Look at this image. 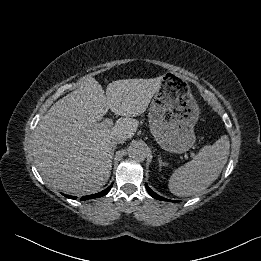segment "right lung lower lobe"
Returning <instances> with one entry per match:
<instances>
[{"label":"right lung lower lobe","instance_id":"right-lung-lower-lobe-1","mask_svg":"<svg viewBox=\"0 0 261 261\" xmlns=\"http://www.w3.org/2000/svg\"><path fill=\"white\" fill-rule=\"evenodd\" d=\"M111 187H112V184L107 189H105L104 191L96 193V194L84 196V197L81 198V200H88V199H92V198L102 197L109 192ZM64 196L67 197V198H70V199H76L75 196H69V195H64Z\"/></svg>","mask_w":261,"mask_h":261}]
</instances>
